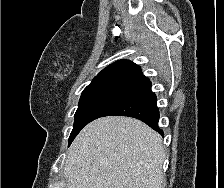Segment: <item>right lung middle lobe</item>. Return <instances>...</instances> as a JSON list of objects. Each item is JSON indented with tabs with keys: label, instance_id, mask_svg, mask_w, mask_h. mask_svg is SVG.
I'll return each mask as SVG.
<instances>
[{
	"label": "right lung middle lobe",
	"instance_id": "obj_1",
	"mask_svg": "<svg viewBox=\"0 0 224 188\" xmlns=\"http://www.w3.org/2000/svg\"><path fill=\"white\" fill-rule=\"evenodd\" d=\"M129 83V80L124 79L92 81L83 90L75 113V122L69 137V145L81 129L90 122L94 113Z\"/></svg>",
	"mask_w": 224,
	"mask_h": 188
}]
</instances>
